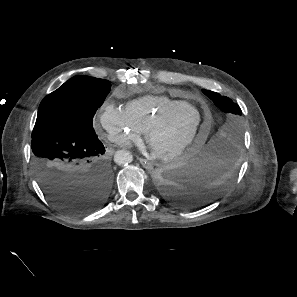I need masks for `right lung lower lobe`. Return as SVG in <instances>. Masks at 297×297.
<instances>
[{
    "instance_id": "obj_1",
    "label": "right lung lower lobe",
    "mask_w": 297,
    "mask_h": 297,
    "mask_svg": "<svg viewBox=\"0 0 297 297\" xmlns=\"http://www.w3.org/2000/svg\"><path fill=\"white\" fill-rule=\"evenodd\" d=\"M31 137L38 182L57 208L84 214L106 203L113 173L95 132L57 126Z\"/></svg>"
}]
</instances>
